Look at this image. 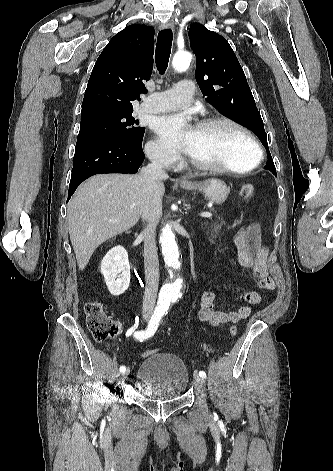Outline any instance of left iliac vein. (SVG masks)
Returning a JSON list of instances; mask_svg holds the SVG:
<instances>
[{
	"label": "left iliac vein",
	"mask_w": 333,
	"mask_h": 471,
	"mask_svg": "<svg viewBox=\"0 0 333 471\" xmlns=\"http://www.w3.org/2000/svg\"><path fill=\"white\" fill-rule=\"evenodd\" d=\"M194 379H195V382H196L199 386H201V387L204 386V380H203V378H201L198 374H196V373L194 374Z\"/></svg>",
	"instance_id": "left-iliac-vein-1"
}]
</instances>
